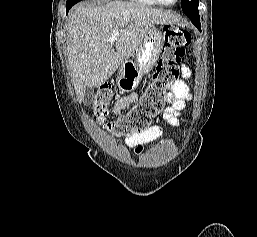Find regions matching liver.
I'll return each mask as SVG.
<instances>
[{
    "label": "liver",
    "instance_id": "obj_1",
    "mask_svg": "<svg viewBox=\"0 0 257 237\" xmlns=\"http://www.w3.org/2000/svg\"><path fill=\"white\" fill-rule=\"evenodd\" d=\"M176 22L169 11L135 3L76 6L68 23L67 50L77 99L82 101L86 87L100 86L133 56L151 27ZM114 29L122 31L115 48L108 41Z\"/></svg>",
    "mask_w": 257,
    "mask_h": 237
}]
</instances>
